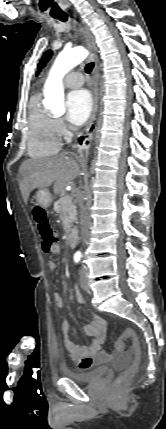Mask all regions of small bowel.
Masks as SVG:
<instances>
[{"instance_id": "1", "label": "small bowel", "mask_w": 166, "mask_h": 429, "mask_svg": "<svg viewBox=\"0 0 166 429\" xmlns=\"http://www.w3.org/2000/svg\"><path fill=\"white\" fill-rule=\"evenodd\" d=\"M48 252L57 254L60 252V246L55 244ZM56 267L57 265L55 261L50 260L48 262L49 270L54 271ZM75 294L78 301L83 304L84 298L78 289H75ZM54 301L58 307H63L64 299L61 294L55 293ZM61 329L67 355L79 369L87 370L95 366H99L112 357V354L109 351L102 349V345L106 341L107 330V325L103 318L94 315L92 320L84 326V332L87 335L94 337V340L88 345H79L70 339V324L67 320L62 321ZM126 355H130V351H127Z\"/></svg>"}]
</instances>
